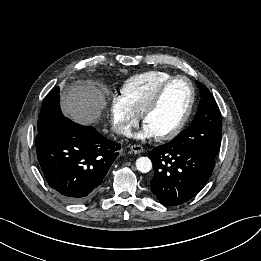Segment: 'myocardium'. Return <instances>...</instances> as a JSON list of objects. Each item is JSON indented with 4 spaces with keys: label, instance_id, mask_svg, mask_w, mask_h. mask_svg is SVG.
I'll use <instances>...</instances> for the list:
<instances>
[{
    "label": "myocardium",
    "instance_id": "myocardium-1",
    "mask_svg": "<svg viewBox=\"0 0 261 261\" xmlns=\"http://www.w3.org/2000/svg\"><path fill=\"white\" fill-rule=\"evenodd\" d=\"M178 80H185L190 88V100H189V104L188 107L182 117V119L180 120V122L178 123V125L172 129L169 132H166L164 134L161 135H157L156 138L158 140H170L174 137H176L178 134H180L182 132V130L184 129V127L186 126L187 122L190 119V116L193 112V108H194V104H195V99H196V90H195V86L192 82V80L184 75H176L173 76L172 78H170L168 81H166L157 91V93L155 94V96L153 97V99L151 100V102L148 104V106L145 108V110L143 111L141 118H142V122L145 124L146 119L152 114L154 113L160 106L162 99L167 91V89L176 81Z\"/></svg>",
    "mask_w": 261,
    "mask_h": 261
}]
</instances>
